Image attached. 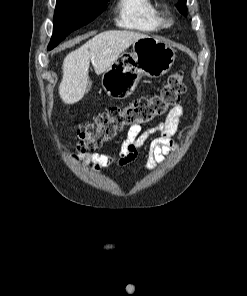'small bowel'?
<instances>
[{"mask_svg":"<svg viewBox=\"0 0 247 296\" xmlns=\"http://www.w3.org/2000/svg\"><path fill=\"white\" fill-rule=\"evenodd\" d=\"M184 113V107L177 105L170 110L165 121L157 122L146 130H142L139 125L132 126L128 130L117 156L104 153H87L82 155V160L85 165L90 164L96 173L105 167L123 168L138 158L139 149L152 135L159 134L150 141L146 153L147 168L153 171L158 165L164 164L178 148L179 142L174 137Z\"/></svg>","mask_w":247,"mask_h":296,"instance_id":"1","label":"small bowel"}]
</instances>
